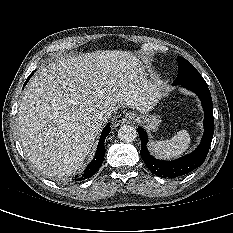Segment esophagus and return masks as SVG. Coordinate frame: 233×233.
I'll return each mask as SVG.
<instances>
[{"instance_id": "1", "label": "esophagus", "mask_w": 233, "mask_h": 233, "mask_svg": "<svg viewBox=\"0 0 233 233\" xmlns=\"http://www.w3.org/2000/svg\"><path fill=\"white\" fill-rule=\"evenodd\" d=\"M137 116L135 113L133 112H128L124 115V117L122 118V122L126 123V124H131L132 122H134L136 120Z\"/></svg>"}]
</instances>
